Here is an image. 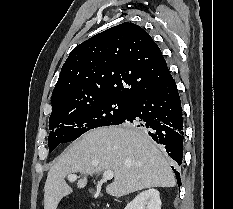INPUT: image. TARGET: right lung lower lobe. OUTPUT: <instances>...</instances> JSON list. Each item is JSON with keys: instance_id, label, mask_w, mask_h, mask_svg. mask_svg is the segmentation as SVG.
Segmentation results:
<instances>
[{"instance_id": "obj_1", "label": "right lung lower lobe", "mask_w": 233, "mask_h": 209, "mask_svg": "<svg viewBox=\"0 0 233 209\" xmlns=\"http://www.w3.org/2000/svg\"><path fill=\"white\" fill-rule=\"evenodd\" d=\"M122 123L145 131L166 149L174 162L182 164V108L177 86L171 75L152 91L134 97L124 120L114 125ZM172 169L180 186V173L173 166Z\"/></svg>"}]
</instances>
